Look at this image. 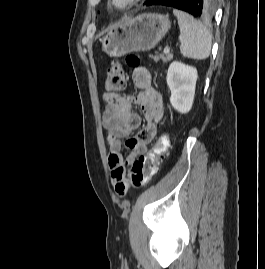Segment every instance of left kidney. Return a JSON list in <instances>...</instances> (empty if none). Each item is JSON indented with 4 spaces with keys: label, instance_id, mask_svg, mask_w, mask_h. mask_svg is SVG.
<instances>
[{
    "label": "left kidney",
    "instance_id": "left-kidney-1",
    "mask_svg": "<svg viewBox=\"0 0 265 269\" xmlns=\"http://www.w3.org/2000/svg\"><path fill=\"white\" fill-rule=\"evenodd\" d=\"M197 78L196 68L178 61L170 64L166 81L171 91L170 103L176 111L185 114L191 110Z\"/></svg>",
    "mask_w": 265,
    "mask_h": 269
}]
</instances>
